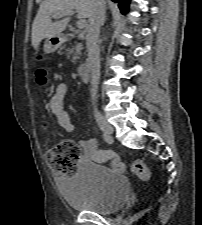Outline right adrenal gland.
Instances as JSON below:
<instances>
[{"label":"right adrenal gland","instance_id":"right-adrenal-gland-1","mask_svg":"<svg viewBox=\"0 0 202 225\" xmlns=\"http://www.w3.org/2000/svg\"><path fill=\"white\" fill-rule=\"evenodd\" d=\"M105 21H106V17H105L104 20H103L102 26L104 25Z\"/></svg>","mask_w":202,"mask_h":225}]
</instances>
